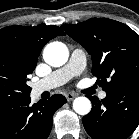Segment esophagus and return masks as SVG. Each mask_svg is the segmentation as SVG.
Returning a JSON list of instances; mask_svg holds the SVG:
<instances>
[{"mask_svg":"<svg viewBox=\"0 0 139 139\" xmlns=\"http://www.w3.org/2000/svg\"><path fill=\"white\" fill-rule=\"evenodd\" d=\"M75 98V94H73V93H67L66 94V99L68 100V101H71V100H73Z\"/></svg>","mask_w":139,"mask_h":139,"instance_id":"esophagus-1","label":"esophagus"}]
</instances>
